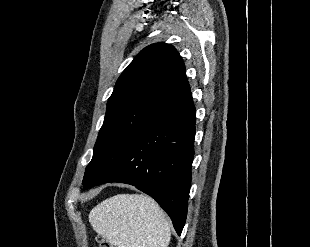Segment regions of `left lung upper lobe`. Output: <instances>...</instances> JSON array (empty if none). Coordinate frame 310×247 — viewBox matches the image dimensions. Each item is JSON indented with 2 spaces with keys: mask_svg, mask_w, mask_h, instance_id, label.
<instances>
[{
  "mask_svg": "<svg viewBox=\"0 0 310 247\" xmlns=\"http://www.w3.org/2000/svg\"><path fill=\"white\" fill-rule=\"evenodd\" d=\"M183 60L166 43L147 46L127 66L107 102L83 184L93 187L162 113L190 92Z\"/></svg>",
  "mask_w": 310,
  "mask_h": 247,
  "instance_id": "5c2ea615",
  "label": "left lung upper lobe"
}]
</instances>
